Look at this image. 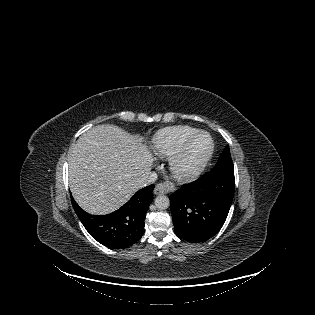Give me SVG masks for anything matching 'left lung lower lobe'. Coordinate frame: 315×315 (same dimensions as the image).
Wrapping results in <instances>:
<instances>
[{
	"label": "left lung lower lobe",
	"mask_w": 315,
	"mask_h": 315,
	"mask_svg": "<svg viewBox=\"0 0 315 315\" xmlns=\"http://www.w3.org/2000/svg\"><path fill=\"white\" fill-rule=\"evenodd\" d=\"M234 172L212 170L184 184L170 196L176 235L188 242H204L222 228L234 196Z\"/></svg>",
	"instance_id": "0a47b994"
}]
</instances>
